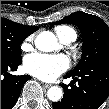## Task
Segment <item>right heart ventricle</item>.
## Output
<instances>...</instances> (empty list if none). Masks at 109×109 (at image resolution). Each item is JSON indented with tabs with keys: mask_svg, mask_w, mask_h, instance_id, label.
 Wrapping results in <instances>:
<instances>
[{
	"mask_svg": "<svg viewBox=\"0 0 109 109\" xmlns=\"http://www.w3.org/2000/svg\"><path fill=\"white\" fill-rule=\"evenodd\" d=\"M55 33L57 35V37L63 42L65 40L68 41H75L77 34L75 32V30L67 25H59L55 28Z\"/></svg>",
	"mask_w": 109,
	"mask_h": 109,
	"instance_id": "obj_1",
	"label": "right heart ventricle"
}]
</instances>
